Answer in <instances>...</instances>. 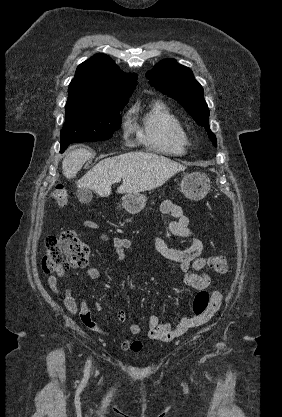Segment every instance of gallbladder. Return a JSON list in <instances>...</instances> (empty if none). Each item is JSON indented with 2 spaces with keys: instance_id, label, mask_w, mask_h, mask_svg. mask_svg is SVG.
Segmentation results:
<instances>
[{
  "instance_id": "obj_1",
  "label": "gallbladder",
  "mask_w": 282,
  "mask_h": 417,
  "mask_svg": "<svg viewBox=\"0 0 282 417\" xmlns=\"http://www.w3.org/2000/svg\"><path fill=\"white\" fill-rule=\"evenodd\" d=\"M77 196L80 202H90V200H92L93 194L90 188H78Z\"/></svg>"
}]
</instances>
